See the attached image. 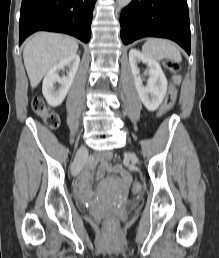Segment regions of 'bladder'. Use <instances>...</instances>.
Returning a JSON list of instances; mask_svg holds the SVG:
<instances>
[{
    "label": "bladder",
    "mask_w": 219,
    "mask_h": 258,
    "mask_svg": "<svg viewBox=\"0 0 219 258\" xmlns=\"http://www.w3.org/2000/svg\"><path fill=\"white\" fill-rule=\"evenodd\" d=\"M127 205H128V206H131V205H133V202H132V201H129V202H127Z\"/></svg>",
    "instance_id": "obj_1"
}]
</instances>
